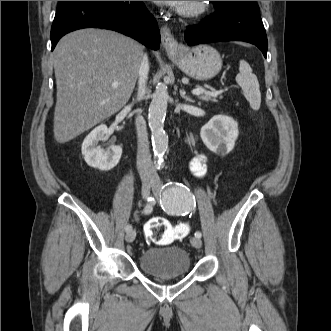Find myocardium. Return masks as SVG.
Wrapping results in <instances>:
<instances>
[{
  "instance_id": "f54148a6",
  "label": "myocardium",
  "mask_w": 331,
  "mask_h": 331,
  "mask_svg": "<svg viewBox=\"0 0 331 331\" xmlns=\"http://www.w3.org/2000/svg\"><path fill=\"white\" fill-rule=\"evenodd\" d=\"M207 9L205 1H189L178 6L177 11L183 17H195Z\"/></svg>"
}]
</instances>
